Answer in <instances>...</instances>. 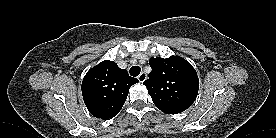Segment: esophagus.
<instances>
[{
    "instance_id": "34e87169",
    "label": "esophagus",
    "mask_w": 276,
    "mask_h": 138,
    "mask_svg": "<svg viewBox=\"0 0 276 138\" xmlns=\"http://www.w3.org/2000/svg\"><path fill=\"white\" fill-rule=\"evenodd\" d=\"M147 79V75L144 72H141L140 75L138 76V80L140 83H143Z\"/></svg>"
}]
</instances>
